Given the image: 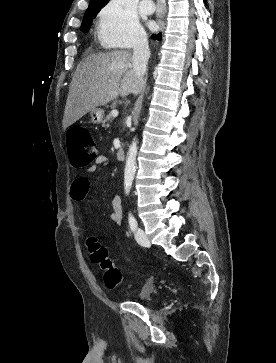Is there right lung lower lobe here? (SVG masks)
<instances>
[{
	"instance_id": "98d812e1",
	"label": "right lung lower lobe",
	"mask_w": 276,
	"mask_h": 363,
	"mask_svg": "<svg viewBox=\"0 0 276 363\" xmlns=\"http://www.w3.org/2000/svg\"><path fill=\"white\" fill-rule=\"evenodd\" d=\"M154 40L157 39V40H161V33H159L158 35H152V37Z\"/></svg>"
}]
</instances>
